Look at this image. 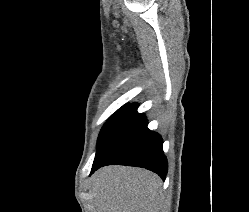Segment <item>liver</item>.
Listing matches in <instances>:
<instances>
[{
  "label": "liver",
  "mask_w": 249,
  "mask_h": 212,
  "mask_svg": "<svg viewBox=\"0 0 249 212\" xmlns=\"http://www.w3.org/2000/svg\"><path fill=\"white\" fill-rule=\"evenodd\" d=\"M95 212H157L164 202L162 180L129 166H105L91 178Z\"/></svg>",
  "instance_id": "liver-1"
}]
</instances>
